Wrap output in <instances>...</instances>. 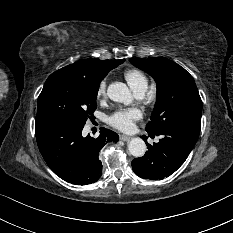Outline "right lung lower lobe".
<instances>
[{"instance_id":"right-lung-lower-lobe-1","label":"right lung lower lobe","mask_w":233,"mask_h":233,"mask_svg":"<svg viewBox=\"0 0 233 233\" xmlns=\"http://www.w3.org/2000/svg\"><path fill=\"white\" fill-rule=\"evenodd\" d=\"M84 125L58 121L35 123L39 150L49 168L61 179L77 185L96 182L102 175L99 151L107 142H117V133L101 128L100 135L83 137Z\"/></svg>"}]
</instances>
